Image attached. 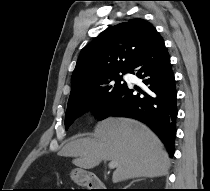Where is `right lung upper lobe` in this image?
I'll list each match as a JSON object with an SVG mask.
<instances>
[{
	"label": "right lung upper lobe",
	"instance_id": "obj_1",
	"mask_svg": "<svg viewBox=\"0 0 210 191\" xmlns=\"http://www.w3.org/2000/svg\"><path fill=\"white\" fill-rule=\"evenodd\" d=\"M158 36L151 23L139 18L103 31L80 53L71 77L70 98L87 92L109 73L130 70L132 63Z\"/></svg>",
	"mask_w": 210,
	"mask_h": 191
}]
</instances>
